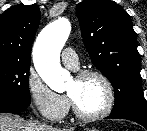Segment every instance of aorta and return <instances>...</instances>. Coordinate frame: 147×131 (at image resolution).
<instances>
[{
	"label": "aorta",
	"instance_id": "aorta-1",
	"mask_svg": "<svg viewBox=\"0 0 147 131\" xmlns=\"http://www.w3.org/2000/svg\"><path fill=\"white\" fill-rule=\"evenodd\" d=\"M70 30V22L65 18H59L41 31L33 48L36 71L42 80L57 92L64 91L71 79L70 73L60 64V52Z\"/></svg>",
	"mask_w": 147,
	"mask_h": 131
}]
</instances>
